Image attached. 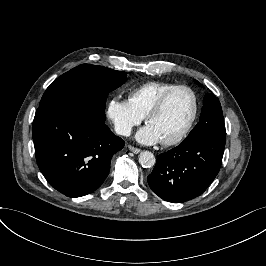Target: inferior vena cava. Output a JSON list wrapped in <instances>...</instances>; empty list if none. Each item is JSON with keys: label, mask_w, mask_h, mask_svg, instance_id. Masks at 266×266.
<instances>
[{"label": "inferior vena cava", "mask_w": 266, "mask_h": 266, "mask_svg": "<svg viewBox=\"0 0 266 266\" xmlns=\"http://www.w3.org/2000/svg\"><path fill=\"white\" fill-rule=\"evenodd\" d=\"M131 127L130 126H124L122 124H116L115 125V131L118 134L129 136L131 134Z\"/></svg>", "instance_id": "inferior-vena-cava-1"}]
</instances>
